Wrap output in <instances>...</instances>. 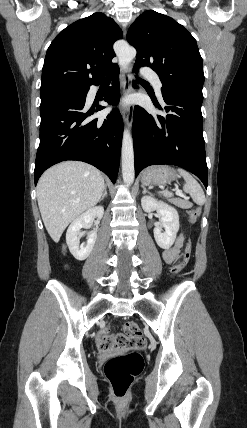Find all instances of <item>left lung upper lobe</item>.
I'll return each mask as SVG.
<instances>
[{
  "mask_svg": "<svg viewBox=\"0 0 247 428\" xmlns=\"http://www.w3.org/2000/svg\"><path fill=\"white\" fill-rule=\"evenodd\" d=\"M128 42L137 50L135 68L151 67L163 93L203 99L202 58L194 37L174 19L149 10L130 26Z\"/></svg>",
  "mask_w": 247,
  "mask_h": 428,
  "instance_id": "obj_1",
  "label": "left lung upper lobe"
}]
</instances>
